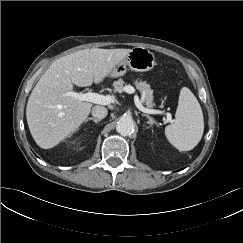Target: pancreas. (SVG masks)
Instances as JSON below:
<instances>
[{
  "instance_id": "cf45deb5",
  "label": "pancreas",
  "mask_w": 243,
  "mask_h": 243,
  "mask_svg": "<svg viewBox=\"0 0 243 243\" xmlns=\"http://www.w3.org/2000/svg\"><path fill=\"white\" fill-rule=\"evenodd\" d=\"M134 84L136 88L141 92L142 94V103H144L148 108H151L154 106L153 103V90L151 89L150 85L142 80H136L134 81ZM114 91L116 92H123L125 87V82L123 79H118L117 81H114L113 83Z\"/></svg>"
}]
</instances>
